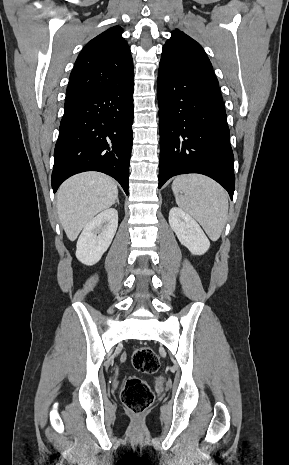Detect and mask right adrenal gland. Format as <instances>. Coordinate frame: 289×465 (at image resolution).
Masks as SVG:
<instances>
[{"label":"right adrenal gland","instance_id":"obj_1","mask_svg":"<svg viewBox=\"0 0 289 465\" xmlns=\"http://www.w3.org/2000/svg\"><path fill=\"white\" fill-rule=\"evenodd\" d=\"M116 203H117V204H120V203H119V199H118V198L116 199Z\"/></svg>","mask_w":289,"mask_h":465}]
</instances>
